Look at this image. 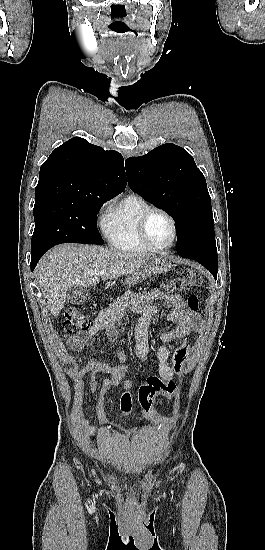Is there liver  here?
<instances>
[{
    "label": "liver",
    "instance_id": "liver-1",
    "mask_svg": "<svg viewBox=\"0 0 265 550\" xmlns=\"http://www.w3.org/2000/svg\"><path fill=\"white\" fill-rule=\"evenodd\" d=\"M147 254L111 251L102 246L63 244L47 252L37 265V277L53 316L64 308L71 287H91L102 280L133 275L150 258ZM104 271V275L100 272Z\"/></svg>",
    "mask_w": 265,
    "mask_h": 550
}]
</instances>
